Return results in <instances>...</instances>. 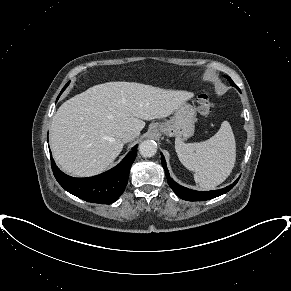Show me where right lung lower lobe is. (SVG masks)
I'll use <instances>...</instances> for the list:
<instances>
[{
  "label": "right lung lower lobe",
  "mask_w": 291,
  "mask_h": 291,
  "mask_svg": "<svg viewBox=\"0 0 291 291\" xmlns=\"http://www.w3.org/2000/svg\"><path fill=\"white\" fill-rule=\"evenodd\" d=\"M137 155V145L111 170L89 178H73L64 174L51 157V167L58 183L69 193L87 202L111 204L124 192L129 171ZM51 156V155H50Z\"/></svg>",
  "instance_id": "obj_1"
}]
</instances>
